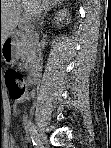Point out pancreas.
I'll use <instances>...</instances> for the list:
<instances>
[{"label": "pancreas", "instance_id": "cf45deb5", "mask_svg": "<svg viewBox=\"0 0 111 148\" xmlns=\"http://www.w3.org/2000/svg\"><path fill=\"white\" fill-rule=\"evenodd\" d=\"M20 34H21V36L23 37V40H22V42H21V44H22V49H23V51H22V53H21V61H22V62H27L28 54H27V52H26V51H27V47H26L25 43H26V38L28 37V33L22 29V30L20 31ZM27 67H28L27 65L24 66V68H27Z\"/></svg>", "mask_w": 111, "mask_h": 148}]
</instances>
